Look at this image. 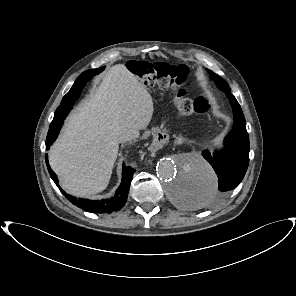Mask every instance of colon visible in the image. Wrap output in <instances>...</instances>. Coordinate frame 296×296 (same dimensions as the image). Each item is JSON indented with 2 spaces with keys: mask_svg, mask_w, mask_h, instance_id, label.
<instances>
[{
  "mask_svg": "<svg viewBox=\"0 0 296 296\" xmlns=\"http://www.w3.org/2000/svg\"><path fill=\"white\" fill-rule=\"evenodd\" d=\"M128 68L145 85H158L162 88L172 89L178 112L183 116L204 114L211 108V104L206 98L198 97L192 99L187 96L184 84L188 71L185 66L130 61L128 62Z\"/></svg>",
  "mask_w": 296,
  "mask_h": 296,
  "instance_id": "obj_1",
  "label": "colon"
}]
</instances>
